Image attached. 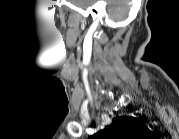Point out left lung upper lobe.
Wrapping results in <instances>:
<instances>
[{
    "instance_id": "5c2ea615",
    "label": "left lung upper lobe",
    "mask_w": 179,
    "mask_h": 139,
    "mask_svg": "<svg viewBox=\"0 0 179 139\" xmlns=\"http://www.w3.org/2000/svg\"><path fill=\"white\" fill-rule=\"evenodd\" d=\"M148 128L134 117H116L113 123L97 132L91 139H142Z\"/></svg>"
}]
</instances>
